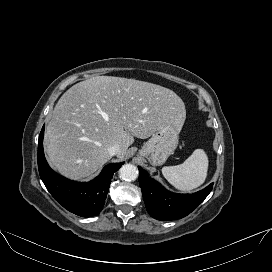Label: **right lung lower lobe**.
<instances>
[{
    "mask_svg": "<svg viewBox=\"0 0 272 272\" xmlns=\"http://www.w3.org/2000/svg\"><path fill=\"white\" fill-rule=\"evenodd\" d=\"M43 135L44 126L39 135L38 168L47 190L58 203L78 216L98 215L105 204L113 174L123 163H112L105 166L98 177L87 183L68 180L55 173L47 164L43 152Z\"/></svg>",
    "mask_w": 272,
    "mask_h": 272,
    "instance_id": "obj_1",
    "label": "right lung lower lobe"
}]
</instances>
